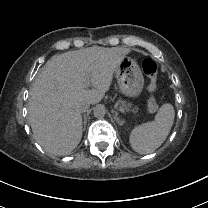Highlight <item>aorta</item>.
Returning <instances> with one entry per match:
<instances>
[{"label":"aorta","mask_w":208,"mask_h":208,"mask_svg":"<svg viewBox=\"0 0 208 208\" xmlns=\"http://www.w3.org/2000/svg\"><path fill=\"white\" fill-rule=\"evenodd\" d=\"M105 113H106V110L103 105L96 106L93 111V114L96 118H103Z\"/></svg>","instance_id":"obj_1"}]
</instances>
